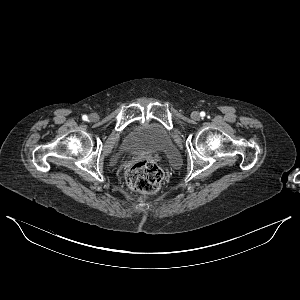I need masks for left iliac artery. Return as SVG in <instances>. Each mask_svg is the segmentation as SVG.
Listing matches in <instances>:
<instances>
[{"label": "left iliac artery", "mask_w": 300, "mask_h": 300, "mask_svg": "<svg viewBox=\"0 0 300 300\" xmlns=\"http://www.w3.org/2000/svg\"><path fill=\"white\" fill-rule=\"evenodd\" d=\"M200 115H201V117H204L205 116V112H201Z\"/></svg>", "instance_id": "left-iliac-artery-1"}]
</instances>
